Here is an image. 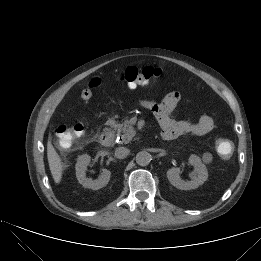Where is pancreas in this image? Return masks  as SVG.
<instances>
[{"label":"pancreas","mask_w":261,"mask_h":261,"mask_svg":"<svg viewBox=\"0 0 261 261\" xmlns=\"http://www.w3.org/2000/svg\"><path fill=\"white\" fill-rule=\"evenodd\" d=\"M118 136H121L122 143H129L135 135V130L128 120H125L122 124L114 123L112 125Z\"/></svg>","instance_id":"cf45deb5"}]
</instances>
